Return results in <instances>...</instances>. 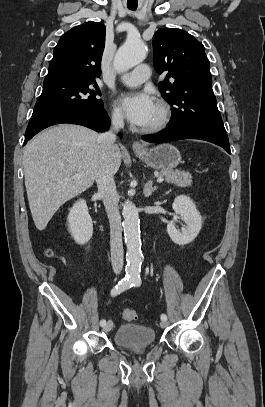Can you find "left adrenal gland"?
I'll use <instances>...</instances> for the list:
<instances>
[{"instance_id":"a2214340","label":"left adrenal gland","mask_w":265,"mask_h":407,"mask_svg":"<svg viewBox=\"0 0 265 407\" xmlns=\"http://www.w3.org/2000/svg\"><path fill=\"white\" fill-rule=\"evenodd\" d=\"M152 180L147 181V183L144 185V189H143V194L145 197H149L151 196L152 192H154L155 190H157L156 186H152Z\"/></svg>"}]
</instances>
